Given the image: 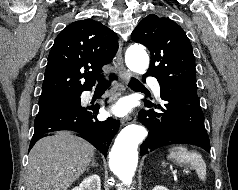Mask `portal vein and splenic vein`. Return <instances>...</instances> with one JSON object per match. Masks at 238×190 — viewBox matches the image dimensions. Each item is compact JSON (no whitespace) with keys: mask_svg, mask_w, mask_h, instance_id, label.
Wrapping results in <instances>:
<instances>
[{"mask_svg":"<svg viewBox=\"0 0 238 190\" xmlns=\"http://www.w3.org/2000/svg\"><path fill=\"white\" fill-rule=\"evenodd\" d=\"M184 172H185V173H189V170H188V169H184ZM176 173H177V171L174 170V171H173V174L175 175Z\"/></svg>","mask_w":238,"mask_h":190,"instance_id":"portal-vein-and-splenic-vein-1","label":"portal vein and splenic vein"}]
</instances>
